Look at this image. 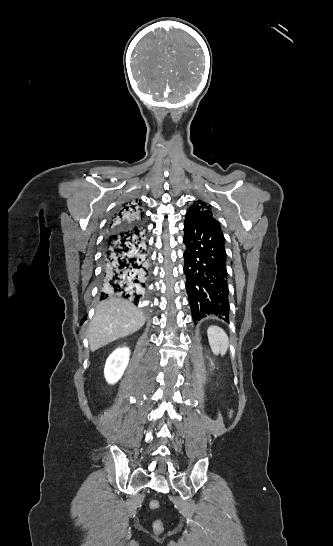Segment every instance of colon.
Wrapping results in <instances>:
<instances>
[{"label":"colon","instance_id":"colon-1","mask_svg":"<svg viewBox=\"0 0 333 546\" xmlns=\"http://www.w3.org/2000/svg\"><path fill=\"white\" fill-rule=\"evenodd\" d=\"M234 412L232 411L230 413V417H233ZM149 508L153 511L158 510L160 508V503L156 500H153L149 503ZM153 529L157 533H161L164 530V525L161 520H155L153 523Z\"/></svg>","mask_w":333,"mask_h":546}]
</instances>
